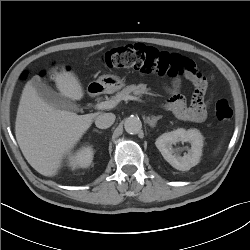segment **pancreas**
Wrapping results in <instances>:
<instances>
[{"label":"pancreas","mask_w":250,"mask_h":250,"mask_svg":"<svg viewBox=\"0 0 250 250\" xmlns=\"http://www.w3.org/2000/svg\"><path fill=\"white\" fill-rule=\"evenodd\" d=\"M149 88H147L146 84H138V85H129L126 86L123 90L120 92H117L116 95L113 97L114 100H124V98L131 93L134 95H143V94H148V95H153L151 92H149Z\"/></svg>","instance_id":"obj_1"}]
</instances>
